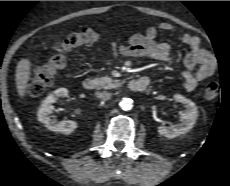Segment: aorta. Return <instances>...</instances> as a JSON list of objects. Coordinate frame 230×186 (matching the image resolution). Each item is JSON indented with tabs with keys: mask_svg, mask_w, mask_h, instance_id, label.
I'll list each match as a JSON object with an SVG mask.
<instances>
[{
	"mask_svg": "<svg viewBox=\"0 0 230 186\" xmlns=\"http://www.w3.org/2000/svg\"><path fill=\"white\" fill-rule=\"evenodd\" d=\"M121 109L124 111L131 110L133 107V101L130 98H123L119 103Z\"/></svg>",
	"mask_w": 230,
	"mask_h": 186,
	"instance_id": "obj_1",
	"label": "aorta"
}]
</instances>
